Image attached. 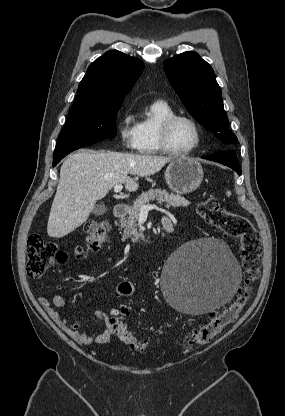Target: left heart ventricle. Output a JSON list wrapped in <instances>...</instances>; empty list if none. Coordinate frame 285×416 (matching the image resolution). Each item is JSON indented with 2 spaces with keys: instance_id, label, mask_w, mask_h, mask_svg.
I'll return each instance as SVG.
<instances>
[{
  "instance_id": "obj_1",
  "label": "left heart ventricle",
  "mask_w": 285,
  "mask_h": 416,
  "mask_svg": "<svg viewBox=\"0 0 285 416\" xmlns=\"http://www.w3.org/2000/svg\"><path fill=\"white\" fill-rule=\"evenodd\" d=\"M169 139L175 150H187L196 142L195 130L188 121L179 119L172 125Z\"/></svg>"
}]
</instances>
